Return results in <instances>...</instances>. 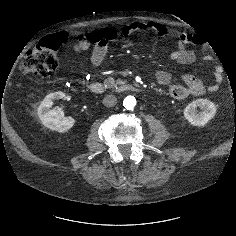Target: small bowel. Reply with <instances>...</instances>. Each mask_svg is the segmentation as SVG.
<instances>
[{
  "instance_id": "obj_1",
  "label": "small bowel",
  "mask_w": 236,
  "mask_h": 236,
  "mask_svg": "<svg viewBox=\"0 0 236 236\" xmlns=\"http://www.w3.org/2000/svg\"><path fill=\"white\" fill-rule=\"evenodd\" d=\"M135 32H145L159 37H167L169 35L168 28L161 23L146 21V22H131L121 26L118 31V37H126ZM57 37L63 42L66 41L65 33L57 34ZM196 44V37L192 33H180L177 37L175 50L171 53V59L180 65H188L195 61L196 51L191 45ZM91 46V42L86 35H80L77 41L72 44L70 51L81 53L87 51ZM108 51V43L101 41L92 49L87 65L89 67H97L101 65ZM171 74L167 71L160 70L156 73V80L159 84L167 86V93L170 97L177 101H183L190 96H199L207 90L216 92L222 81V70L216 68L214 71V80L209 85H206L200 78L193 74H183L181 80L183 84H173L171 82Z\"/></svg>"
}]
</instances>
